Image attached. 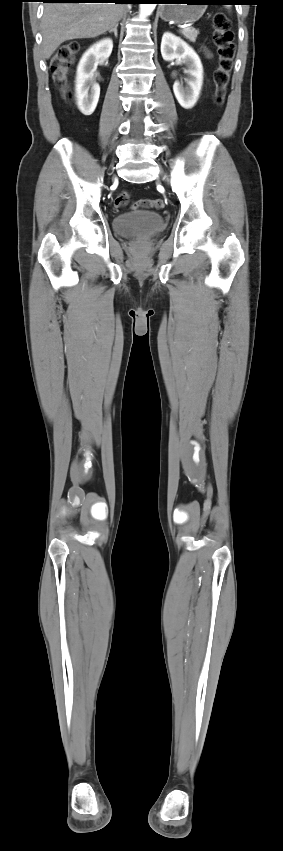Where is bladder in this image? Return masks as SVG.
<instances>
[{
  "label": "bladder",
  "instance_id": "31cf9c89",
  "mask_svg": "<svg viewBox=\"0 0 283 851\" xmlns=\"http://www.w3.org/2000/svg\"><path fill=\"white\" fill-rule=\"evenodd\" d=\"M165 227L163 217L151 210H133L117 215L113 220L114 231L124 237L137 234H156Z\"/></svg>",
  "mask_w": 283,
  "mask_h": 851
}]
</instances>
